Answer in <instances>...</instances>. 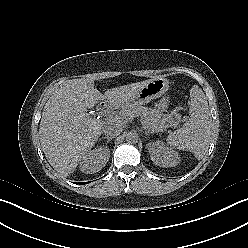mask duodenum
<instances>
[{
	"instance_id": "obj_1",
	"label": "duodenum",
	"mask_w": 248,
	"mask_h": 248,
	"mask_svg": "<svg viewBox=\"0 0 248 248\" xmlns=\"http://www.w3.org/2000/svg\"><path fill=\"white\" fill-rule=\"evenodd\" d=\"M111 108V104L108 103V102H104L102 104H100V106L98 107V112L103 114V113H106L110 110Z\"/></svg>"
}]
</instances>
